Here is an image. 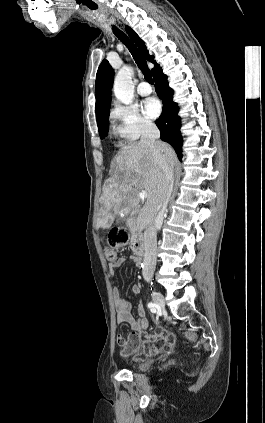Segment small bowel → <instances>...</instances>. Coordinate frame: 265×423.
Returning <instances> with one entry per match:
<instances>
[{"label":"small bowel","instance_id":"obj_1","mask_svg":"<svg viewBox=\"0 0 265 423\" xmlns=\"http://www.w3.org/2000/svg\"><path fill=\"white\" fill-rule=\"evenodd\" d=\"M136 266H140L141 262L136 258H131ZM127 262L126 258H118L109 263V271L111 274ZM133 294H140V287L134 284L131 288ZM113 301L116 309V320L118 324L128 323L132 332L128 337L119 336L118 344L122 347V353L125 356L136 354L137 360H141L143 356H155L159 354H170L176 344V338L173 334L158 329L153 333L147 332L148 321L145 317V310L139 302L136 307L137 315H132V305L124 299L117 288L113 289Z\"/></svg>","mask_w":265,"mask_h":423}]
</instances>
